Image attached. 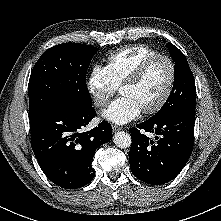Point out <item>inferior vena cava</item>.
<instances>
[{
    "instance_id": "obj_1",
    "label": "inferior vena cava",
    "mask_w": 221,
    "mask_h": 221,
    "mask_svg": "<svg viewBox=\"0 0 221 221\" xmlns=\"http://www.w3.org/2000/svg\"><path fill=\"white\" fill-rule=\"evenodd\" d=\"M95 103H96L97 106H101V105L104 104V100L103 99H99Z\"/></svg>"
}]
</instances>
